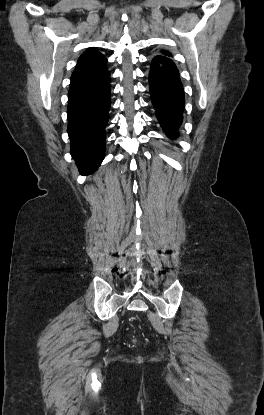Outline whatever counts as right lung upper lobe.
Segmentation results:
<instances>
[{
    "mask_svg": "<svg viewBox=\"0 0 264 415\" xmlns=\"http://www.w3.org/2000/svg\"><path fill=\"white\" fill-rule=\"evenodd\" d=\"M107 59L96 49L88 48L78 59L72 80H79L100 75L107 71Z\"/></svg>",
    "mask_w": 264,
    "mask_h": 415,
    "instance_id": "cb5924a9",
    "label": "right lung upper lobe"
}]
</instances>
